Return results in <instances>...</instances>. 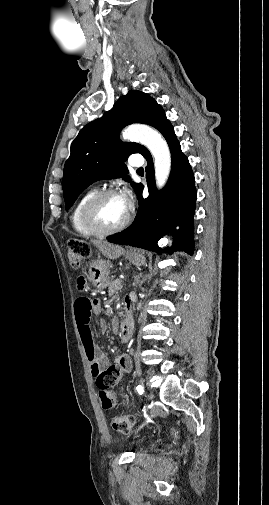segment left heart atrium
Listing matches in <instances>:
<instances>
[{
  "label": "left heart atrium",
  "instance_id": "left-heart-atrium-1",
  "mask_svg": "<svg viewBox=\"0 0 269 505\" xmlns=\"http://www.w3.org/2000/svg\"><path fill=\"white\" fill-rule=\"evenodd\" d=\"M123 206L129 210V208L132 205V199L130 192L127 189H123L119 194H118Z\"/></svg>",
  "mask_w": 269,
  "mask_h": 505
}]
</instances>
